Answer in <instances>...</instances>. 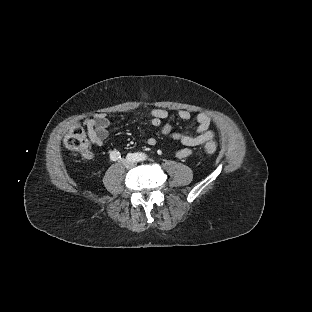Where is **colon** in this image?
I'll use <instances>...</instances> for the list:
<instances>
[{"instance_id":"colon-1","label":"colon","mask_w":312,"mask_h":312,"mask_svg":"<svg viewBox=\"0 0 312 312\" xmlns=\"http://www.w3.org/2000/svg\"><path fill=\"white\" fill-rule=\"evenodd\" d=\"M176 122V115L170 114L169 121L167 122V126L161 129L162 135L170 134L174 130ZM66 144L69 150L73 152H77L83 154L84 157H89V150L91 146V142L85 133L76 126L70 127L66 133ZM217 150V144L214 142H207L204 145V151L206 153H214Z\"/></svg>"}]
</instances>
